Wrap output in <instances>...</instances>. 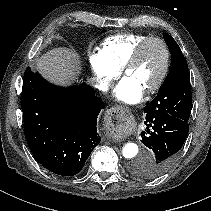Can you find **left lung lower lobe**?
<instances>
[{"label":"left lung lower lobe","mask_w":211,"mask_h":211,"mask_svg":"<svg viewBox=\"0 0 211 211\" xmlns=\"http://www.w3.org/2000/svg\"><path fill=\"white\" fill-rule=\"evenodd\" d=\"M147 133L142 143L150 149L152 159L135 164L142 177L155 178L166 172L176 161L189 131V124L180 118L163 114L146 117Z\"/></svg>","instance_id":"obj_1"}]
</instances>
